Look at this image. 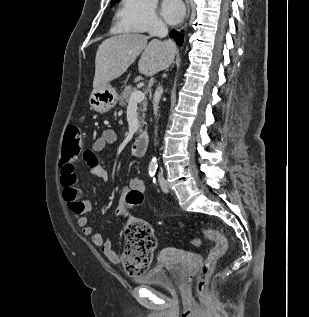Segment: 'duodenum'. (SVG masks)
<instances>
[{
  "instance_id": "1",
  "label": "duodenum",
  "mask_w": 309,
  "mask_h": 317,
  "mask_svg": "<svg viewBox=\"0 0 309 317\" xmlns=\"http://www.w3.org/2000/svg\"><path fill=\"white\" fill-rule=\"evenodd\" d=\"M148 145V134L145 130L140 131V133L135 138L131 146V154L133 156L141 157L145 154Z\"/></svg>"
}]
</instances>
